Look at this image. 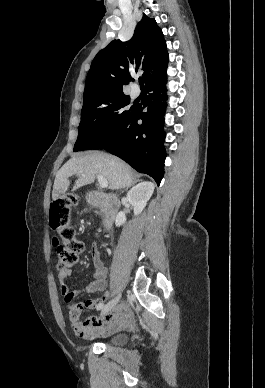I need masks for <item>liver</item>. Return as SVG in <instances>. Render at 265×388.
Listing matches in <instances>:
<instances>
[{
  "mask_svg": "<svg viewBox=\"0 0 265 388\" xmlns=\"http://www.w3.org/2000/svg\"><path fill=\"white\" fill-rule=\"evenodd\" d=\"M82 174L76 180L73 190H78L81 186L93 184L96 176H103L109 182L110 190H121V188H130L134 178L131 168L119 158L110 156V154H100V152H90L88 156H72L59 172L56 174L52 200H58L61 194H66L70 186V176Z\"/></svg>",
  "mask_w": 265,
  "mask_h": 388,
  "instance_id": "liver-1",
  "label": "liver"
}]
</instances>
